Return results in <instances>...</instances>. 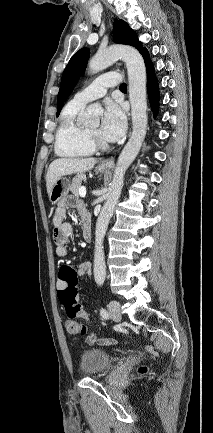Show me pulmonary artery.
<instances>
[{
	"instance_id": "obj_1",
	"label": "pulmonary artery",
	"mask_w": 213,
	"mask_h": 433,
	"mask_svg": "<svg viewBox=\"0 0 213 433\" xmlns=\"http://www.w3.org/2000/svg\"><path fill=\"white\" fill-rule=\"evenodd\" d=\"M120 81V75L116 72L103 74L97 77L89 86L77 92L71 102L85 106L87 103L104 96L109 87L117 86Z\"/></svg>"
}]
</instances>
